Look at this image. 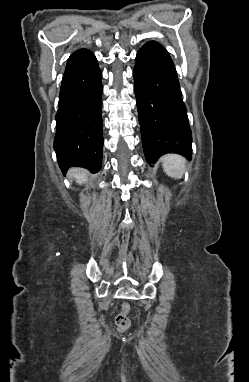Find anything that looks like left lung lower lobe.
<instances>
[{"mask_svg": "<svg viewBox=\"0 0 249 382\" xmlns=\"http://www.w3.org/2000/svg\"><path fill=\"white\" fill-rule=\"evenodd\" d=\"M134 87L144 154L155 163L166 153L192 158V135L174 63L158 42L136 55Z\"/></svg>", "mask_w": 249, "mask_h": 382, "instance_id": "1", "label": "left lung lower lobe"}]
</instances>
